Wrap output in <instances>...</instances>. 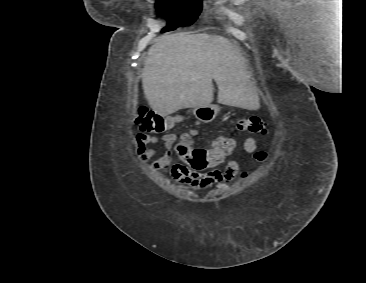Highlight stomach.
<instances>
[{
    "instance_id": "stomach-1",
    "label": "stomach",
    "mask_w": 366,
    "mask_h": 283,
    "mask_svg": "<svg viewBox=\"0 0 366 283\" xmlns=\"http://www.w3.org/2000/svg\"><path fill=\"white\" fill-rule=\"evenodd\" d=\"M220 107L218 105H206V106H199L193 109V114L200 122L209 123L213 121L218 112Z\"/></svg>"
}]
</instances>
